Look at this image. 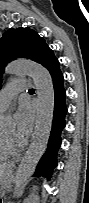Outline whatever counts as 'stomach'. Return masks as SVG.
Returning <instances> with one entry per match:
<instances>
[{"mask_svg": "<svg viewBox=\"0 0 89 203\" xmlns=\"http://www.w3.org/2000/svg\"><path fill=\"white\" fill-rule=\"evenodd\" d=\"M12 172H13V167L11 165H9L5 171V174H4V177L2 180V184H3L4 188H6L8 186V184L10 183Z\"/></svg>", "mask_w": 89, "mask_h": 203, "instance_id": "stomach-1", "label": "stomach"}]
</instances>
